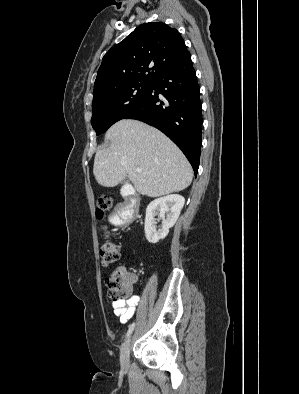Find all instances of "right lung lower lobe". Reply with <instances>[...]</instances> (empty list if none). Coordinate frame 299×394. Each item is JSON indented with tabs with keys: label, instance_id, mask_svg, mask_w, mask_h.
I'll use <instances>...</instances> for the list:
<instances>
[{
	"label": "right lung lower lobe",
	"instance_id": "right-lung-lower-lobe-1",
	"mask_svg": "<svg viewBox=\"0 0 299 394\" xmlns=\"http://www.w3.org/2000/svg\"><path fill=\"white\" fill-rule=\"evenodd\" d=\"M123 119H136L165 133L198 172L201 150L200 88L187 54L155 78L141 102Z\"/></svg>",
	"mask_w": 299,
	"mask_h": 394
}]
</instances>
